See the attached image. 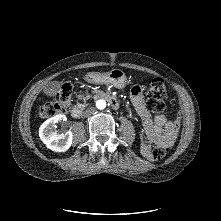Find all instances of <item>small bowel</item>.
Masks as SVG:
<instances>
[{"label":"small bowel","mask_w":221,"mask_h":221,"mask_svg":"<svg viewBox=\"0 0 221 221\" xmlns=\"http://www.w3.org/2000/svg\"><path fill=\"white\" fill-rule=\"evenodd\" d=\"M131 100L143 123L144 136H142L141 150L145 157L150 158V144L166 143V146H170L177 134L179 123L168 121L164 113L151 117L140 86L132 88Z\"/></svg>","instance_id":"small-bowel-1"}]
</instances>
